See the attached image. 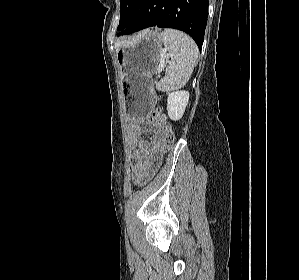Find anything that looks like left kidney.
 Listing matches in <instances>:
<instances>
[{
    "label": "left kidney",
    "instance_id": "1",
    "mask_svg": "<svg viewBox=\"0 0 299 280\" xmlns=\"http://www.w3.org/2000/svg\"><path fill=\"white\" fill-rule=\"evenodd\" d=\"M189 101L188 91H175L168 95L167 111L171 120H180Z\"/></svg>",
    "mask_w": 299,
    "mask_h": 280
}]
</instances>
